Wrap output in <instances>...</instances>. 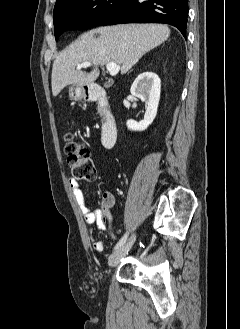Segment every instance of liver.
<instances>
[{
    "label": "liver",
    "instance_id": "6515ba94",
    "mask_svg": "<svg viewBox=\"0 0 240 329\" xmlns=\"http://www.w3.org/2000/svg\"><path fill=\"white\" fill-rule=\"evenodd\" d=\"M169 36L170 29L161 24L114 25L82 34L53 63V96L67 85H91L100 74L98 65L113 62L125 74L143 55L161 45ZM83 62H90L96 67L90 73L75 70Z\"/></svg>",
    "mask_w": 240,
    "mask_h": 329
}]
</instances>
